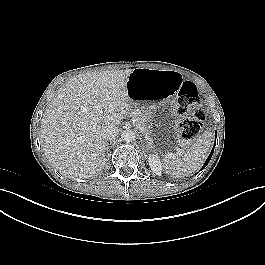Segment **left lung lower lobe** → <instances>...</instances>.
<instances>
[{"label":"left lung lower lobe","instance_id":"1","mask_svg":"<svg viewBox=\"0 0 265 265\" xmlns=\"http://www.w3.org/2000/svg\"><path fill=\"white\" fill-rule=\"evenodd\" d=\"M215 136H216V135H215ZM213 151H214V147H213V149H212V151H211L209 157L207 158L205 164L203 165V168H205L206 165L209 163V161H210V159H211V157H212V155H213Z\"/></svg>","mask_w":265,"mask_h":265}]
</instances>
